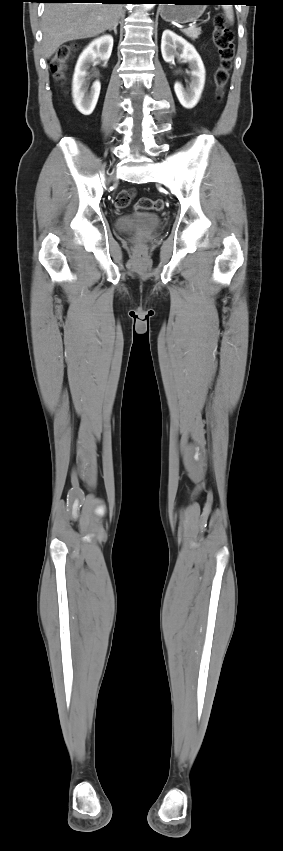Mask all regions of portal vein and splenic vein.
Instances as JSON below:
<instances>
[{"label": "portal vein and splenic vein", "instance_id": "obj_1", "mask_svg": "<svg viewBox=\"0 0 283 851\" xmlns=\"http://www.w3.org/2000/svg\"><path fill=\"white\" fill-rule=\"evenodd\" d=\"M195 26H196V25H192V27H191V28H194Z\"/></svg>", "mask_w": 283, "mask_h": 851}]
</instances>
